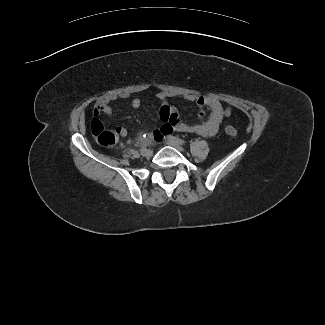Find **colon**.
I'll return each instance as SVG.
<instances>
[{
    "label": "colon",
    "instance_id": "obj_1",
    "mask_svg": "<svg viewBox=\"0 0 325 325\" xmlns=\"http://www.w3.org/2000/svg\"><path fill=\"white\" fill-rule=\"evenodd\" d=\"M91 131L95 140L102 146H113L118 139V132L116 130L104 128L101 121L96 117L91 121ZM225 131L230 136H235L237 134V129L231 125H227Z\"/></svg>",
    "mask_w": 325,
    "mask_h": 325
}]
</instances>
